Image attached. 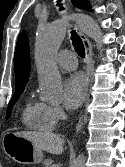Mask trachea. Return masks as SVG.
Masks as SVG:
<instances>
[{
    "mask_svg": "<svg viewBox=\"0 0 125 167\" xmlns=\"http://www.w3.org/2000/svg\"><path fill=\"white\" fill-rule=\"evenodd\" d=\"M61 0L58 1L57 6L60 7V10H63L64 8L62 7V4L60 3ZM71 40H72V44L74 46L75 51L77 52V54L84 58L85 57V48L83 45V42L80 38V36L74 31H71Z\"/></svg>",
    "mask_w": 125,
    "mask_h": 167,
    "instance_id": "3493384b",
    "label": "trachea"
}]
</instances>
